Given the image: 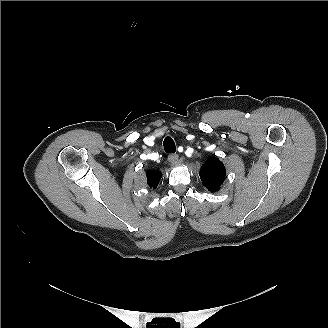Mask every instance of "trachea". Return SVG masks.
Returning <instances> with one entry per match:
<instances>
[{
    "instance_id": "1",
    "label": "trachea",
    "mask_w": 328,
    "mask_h": 328,
    "mask_svg": "<svg viewBox=\"0 0 328 328\" xmlns=\"http://www.w3.org/2000/svg\"><path fill=\"white\" fill-rule=\"evenodd\" d=\"M163 146L166 153H175L176 151V145L173 139L169 136L165 137L163 141Z\"/></svg>"
}]
</instances>
